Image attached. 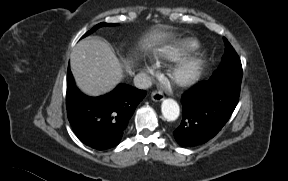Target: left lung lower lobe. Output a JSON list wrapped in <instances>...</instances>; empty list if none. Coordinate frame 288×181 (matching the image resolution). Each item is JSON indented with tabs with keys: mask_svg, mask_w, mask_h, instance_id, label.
<instances>
[{
	"mask_svg": "<svg viewBox=\"0 0 288 181\" xmlns=\"http://www.w3.org/2000/svg\"><path fill=\"white\" fill-rule=\"evenodd\" d=\"M240 95V87L211 79L199 82L182 96L183 118L173 132L179 145L192 147L213 138L229 120Z\"/></svg>",
	"mask_w": 288,
	"mask_h": 181,
	"instance_id": "obj_1",
	"label": "left lung lower lobe"
}]
</instances>
